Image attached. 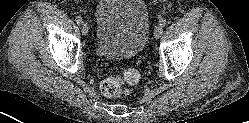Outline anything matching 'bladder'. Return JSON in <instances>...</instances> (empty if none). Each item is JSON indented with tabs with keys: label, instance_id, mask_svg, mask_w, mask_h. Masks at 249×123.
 I'll use <instances>...</instances> for the list:
<instances>
[{
	"label": "bladder",
	"instance_id": "1",
	"mask_svg": "<svg viewBox=\"0 0 249 123\" xmlns=\"http://www.w3.org/2000/svg\"><path fill=\"white\" fill-rule=\"evenodd\" d=\"M150 31L143 0H101L96 9L97 52L109 59L132 58L143 50Z\"/></svg>",
	"mask_w": 249,
	"mask_h": 123
}]
</instances>
